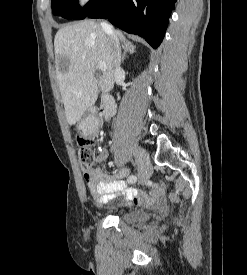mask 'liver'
<instances>
[{
    "instance_id": "6515ba94",
    "label": "liver",
    "mask_w": 247,
    "mask_h": 275,
    "mask_svg": "<svg viewBox=\"0 0 247 275\" xmlns=\"http://www.w3.org/2000/svg\"><path fill=\"white\" fill-rule=\"evenodd\" d=\"M128 43L123 33L114 31ZM101 24L84 20L58 30L54 39L56 75L69 125L78 122L95 103L99 91L114 87L113 52L109 36ZM104 62L107 70L99 78L95 69Z\"/></svg>"
}]
</instances>
